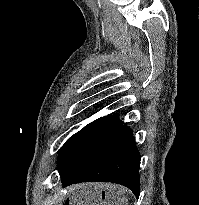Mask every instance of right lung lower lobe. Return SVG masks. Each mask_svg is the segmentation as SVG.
<instances>
[{
  "mask_svg": "<svg viewBox=\"0 0 199 205\" xmlns=\"http://www.w3.org/2000/svg\"><path fill=\"white\" fill-rule=\"evenodd\" d=\"M139 168L140 153L132 129L122 125L102 144L74 161L60 176L63 186L87 181L121 184L138 198Z\"/></svg>",
  "mask_w": 199,
  "mask_h": 205,
  "instance_id": "right-lung-lower-lobe-1",
  "label": "right lung lower lobe"
}]
</instances>
